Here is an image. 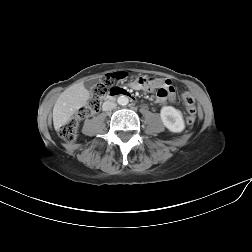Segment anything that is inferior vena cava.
<instances>
[{
	"instance_id": "1",
	"label": "inferior vena cava",
	"mask_w": 252,
	"mask_h": 252,
	"mask_svg": "<svg viewBox=\"0 0 252 252\" xmlns=\"http://www.w3.org/2000/svg\"><path fill=\"white\" fill-rule=\"evenodd\" d=\"M117 106V104L113 101H106L103 103L102 105V110L103 111H111L113 109H115Z\"/></svg>"
}]
</instances>
